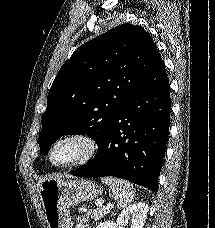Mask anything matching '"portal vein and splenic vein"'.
Returning a JSON list of instances; mask_svg holds the SVG:
<instances>
[{
  "instance_id": "obj_1",
  "label": "portal vein and splenic vein",
  "mask_w": 215,
  "mask_h": 228,
  "mask_svg": "<svg viewBox=\"0 0 215 228\" xmlns=\"http://www.w3.org/2000/svg\"><path fill=\"white\" fill-rule=\"evenodd\" d=\"M105 208H107V210H111V208H113V204H107V206H105Z\"/></svg>"
}]
</instances>
